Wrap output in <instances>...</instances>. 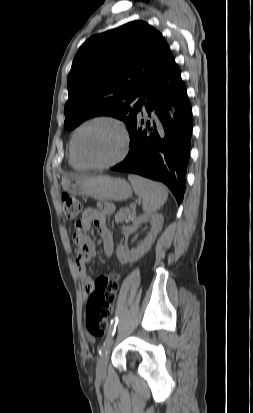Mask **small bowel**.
<instances>
[{"label":"small bowel","mask_w":253,"mask_h":413,"mask_svg":"<svg viewBox=\"0 0 253 413\" xmlns=\"http://www.w3.org/2000/svg\"><path fill=\"white\" fill-rule=\"evenodd\" d=\"M113 210L114 206L111 203L102 202L97 208L85 209L80 220L76 223L73 235L75 261L85 296L89 295L94 287V281L88 274L87 268L93 263L96 256L94 242L87 235V232L94 225L100 234L104 254L111 256L114 251V240L107 224L108 216Z\"/></svg>","instance_id":"obj_1"}]
</instances>
